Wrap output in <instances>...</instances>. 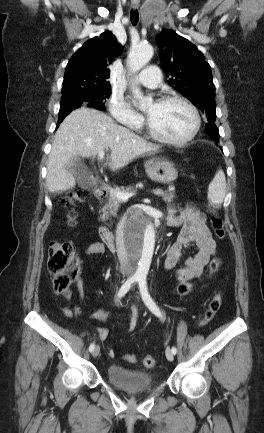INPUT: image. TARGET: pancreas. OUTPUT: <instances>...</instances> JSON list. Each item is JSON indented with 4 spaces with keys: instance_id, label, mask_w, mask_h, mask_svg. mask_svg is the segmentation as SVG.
<instances>
[{
    "instance_id": "1",
    "label": "pancreas",
    "mask_w": 264,
    "mask_h": 433,
    "mask_svg": "<svg viewBox=\"0 0 264 433\" xmlns=\"http://www.w3.org/2000/svg\"><path fill=\"white\" fill-rule=\"evenodd\" d=\"M132 190H133L132 187H127L125 189H122L121 192H129ZM160 196L162 197V199L165 202L170 203L173 200V198L175 197V190H174V188H172V189H169L167 191H162ZM121 203H122V201L117 199V197L115 196L114 193L110 192L109 196H108V202L105 203V205L101 209L102 215L100 216L99 219L101 221H105L106 219L110 218L111 216L116 217L118 208L120 207Z\"/></svg>"
}]
</instances>
